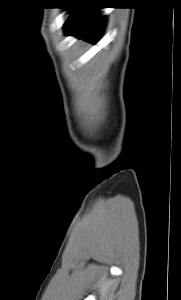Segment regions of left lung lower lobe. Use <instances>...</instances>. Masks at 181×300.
Here are the masks:
<instances>
[{"instance_id": "1", "label": "left lung lower lobe", "mask_w": 181, "mask_h": 300, "mask_svg": "<svg viewBox=\"0 0 181 300\" xmlns=\"http://www.w3.org/2000/svg\"><path fill=\"white\" fill-rule=\"evenodd\" d=\"M65 9H75L66 22L68 34L79 32V38L95 43L104 25L103 18L97 17V11L100 8L94 6H79Z\"/></svg>"}]
</instances>
